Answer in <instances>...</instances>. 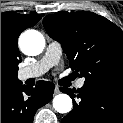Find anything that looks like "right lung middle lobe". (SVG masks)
Returning <instances> with one entry per match:
<instances>
[{
  "label": "right lung middle lobe",
  "instance_id": "obj_1",
  "mask_svg": "<svg viewBox=\"0 0 123 123\" xmlns=\"http://www.w3.org/2000/svg\"><path fill=\"white\" fill-rule=\"evenodd\" d=\"M18 68H15L11 62L5 57L1 56V81L5 80L7 76L17 72Z\"/></svg>",
  "mask_w": 123,
  "mask_h": 123
}]
</instances>
